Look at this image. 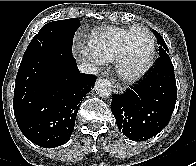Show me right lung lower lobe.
Wrapping results in <instances>:
<instances>
[{"instance_id":"1","label":"right lung lower lobe","mask_w":196,"mask_h":166,"mask_svg":"<svg viewBox=\"0 0 196 166\" xmlns=\"http://www.w3.org/2000/svg\"><path fill=\"white\" fill-rule=\"evenodd\" d=\"M96 79L80 73L72 55L48 50L23 57L13 99L21 132L44 148L66 143L82 99Z\"/></svg>"}]
</instances>
